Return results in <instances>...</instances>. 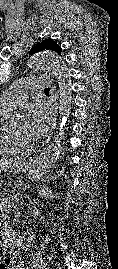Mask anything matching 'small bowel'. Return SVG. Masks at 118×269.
Returning a JSON list of instances; mask_svg holds the SVG:
<instances>
[{"label": "small bowel", "mask_w": 118, "mask_h": 269, "mask_svg": "<svg viewBox=\"0 0 118 269\" xmlns=\"http://www.w3.org/2000/svg\"><path fill=\"white\" fill-rule=\"evenodd\" d=\"M0 245L2 247H22L23 246V240L21 236L15 232H13L10 223L6 216H2L0 218ZM11 265L16 264V261L9 262ZM8 263V264H9ZM4 269H6V262L3 264ZM9 269V268H8Z\"/></svg>", "instance_id": "c3829d8e"}]
</instances>
